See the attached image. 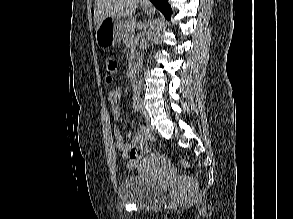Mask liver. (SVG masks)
<instances>
[{
	"instance_id": "obj_1",
	"label": "liver",
	"mask_w": 293,
	"mask_h": 219,
	"mask_svg": "<svg viewBox=\"0 0 293 219\" xmlns=\"http://www.w3.org/2000/svg\"><path fill=\"white\" fill-rule=\"evenodd\" d=\"M140 0H95L94 24L95 30L107 17L133 16Z\"/></svg>"
}]
</instances>
